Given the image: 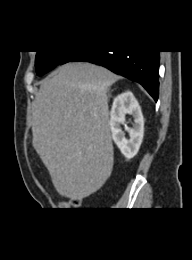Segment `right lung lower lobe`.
<instances>
[{
  "label": "right lung lower lobe",
  "mask_w": 192,
  "mask_h": 260,
  "mask_svg": "<svg viewBox=\"0 0 192 260\" xmlns=\"http://www.w3.org/2000/svg\"><path fill=\"white\" fill-rule=\"evenodd\" d=\"M159 51H74L69 52L61 64L87 61L104 66L116 74L140 83L147 92L158 99Z\"/></svg>",
  "instance_id": "1"
}]
</instances>
